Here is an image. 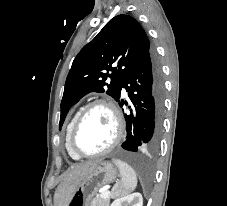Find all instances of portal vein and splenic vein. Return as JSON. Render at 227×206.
Returning <instances> with one entry per match:
<instances>
[{"label":"portal vein and splenic vein","instance_id":"18ae733b","mask_svg":"<svg viewBox=\"0 0 227 206\" xmlns=\"http://www.w3.org/2000/svg\"><path fill=\"white\" fill-rule=\"evenodd\" d=\"M110 195V191H108V190H106V191H104L102 194H101V196L102 197H108Z\"/></svg>","mask_w":227,"mask_h":206}]
</instances>
